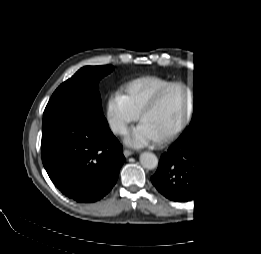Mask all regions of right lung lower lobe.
Instances as JSON below:
<instances>
[{"label":"right lung lower lobe","mask_w":261,"mask_h":254,"mask_svg":"<svg viewBox=\"0 0 261 254\" xmlns=\"http://www.w3.org/2000/svg\"><path fill=\"white\" fill-rule=\"evenodd\" d=\"M43 165L55 186L78 202H94L115 185L125 161L107 122L71 107L45 109Z\"/></svg>","instance_id":"1"}]
</instances>
